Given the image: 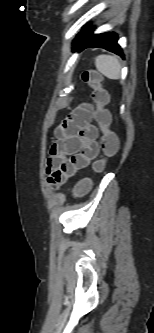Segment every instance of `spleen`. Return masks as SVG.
Returning <instances> with one entry per match:
<instances>
[{"label":"spleen","mask_w":154,"mask_h":333,"mask_svg":"<svg viewBox=\"0 0 154 333\" xmlns=\"http://www.w3.org/2000/svg\"><path fill=\"white\" fill-rule=\"evenodd\" d=\"M96 68L109 79L120 77L121 65L117 57L110 55H99L96 57Z\"/></svg>","instance_id":"spleen-1"}]
</instances>
